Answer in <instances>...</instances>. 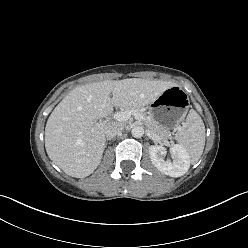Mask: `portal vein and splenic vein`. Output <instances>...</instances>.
Here are the masks:
<instances>
[{"label": "portal vein and splenic vein", "instance_id": "18ae733b", "mask_svg": "<svg viewBox=\"0 0 248 248\" xmlns=\"http://www.w3.org/2000/svg\"><path fill=\"white\" fill-rule=\"evenodd\" d=\"M131 115L135 117V119L141 121L143 117L136 110H127L124 112H117L113 115V118L117 121H127Z\"/></svg>", "mask_w": 248, "mask_h": 248}]
</instances>
